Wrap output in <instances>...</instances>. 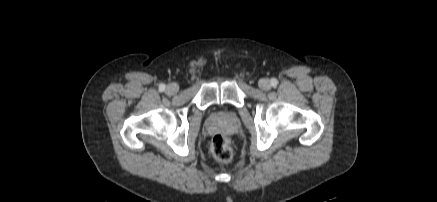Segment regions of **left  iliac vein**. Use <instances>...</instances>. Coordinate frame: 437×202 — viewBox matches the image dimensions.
<instances>
[{
	"label": "left iliac vein",
	"mask_w": 437,
	"mask_h": 202,
	"mask_svg": "<svg viewBox=\"0 0 437 202\" xmlns=\"http://www.w3.org/2000/svg\"><path fill=\"white\" fill-rule=\"evenodd\" d=\"M259 87L262 90H269L271 88V83L268 79H262L259 81Z\"/></svg>",
	"instance_id": "1"
}]
</instances>
